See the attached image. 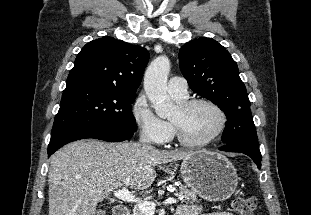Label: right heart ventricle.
<instances>
[{
    "label": "right heart ventricle",
    "instance_id": "1",
    "mask_svg": "<svg viewBox=\"0 0 311 215\" xmlns=\"http://www.w3.org/2000/svg\"><path fill=\"white\" fill-rule=\"evenodd\" d=\"M172 97L174 98V100L177 102V103H181L183 102L184 100L187 99V96L186 97H176V96H173Z\"/></svg>",
    "mask_w": 311,
    "mask_h": 215
}]
</instances>
